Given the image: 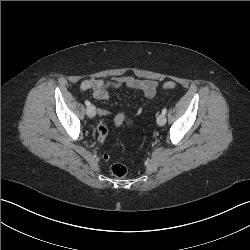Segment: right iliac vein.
Masks as SVG:
<instances>
[{"label": "right iliac vein", "mask_w": 250, "mask_h": 250, "mask_svg": "<svg viewBox=\"0 0 250 250\" xmlns=\"http://www.w3.org/2000/svg\"><path fill=\"white\" fill-rule=\"evenodd\" d=\"M86 113H87V115H88L90 118H93V117L96 115L95 106H93V105L88 106V108H87V110H86Z\"/></svg>", "instance_id": "right-iliac-vein-1"}]
</instances>
